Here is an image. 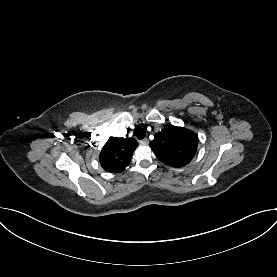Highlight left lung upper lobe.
<instances>
[{
  "mask_svg": "<svg viewBox=\"0 0 277 277\" xmlns=\"http://www.w3.org/2000/svg\"><path fill=\"white\" fill-rule=\"evenodd\" d=\"M197 145L198 137L194 132L183 127L167 125L149 146L161 162L173 167H182L192 160Z\"/></svg>",
  "mask_w": 277,
  "mask_h": 277,
  "instance_id": "5c2ea615",
  "label": "left lung upper lobe"
}]
</instances>
